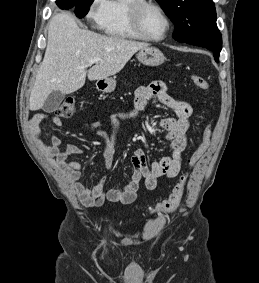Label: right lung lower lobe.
I'll list each match as a JSON object with an SVG mask.
<instances>
[{
  "instance_id": "98d812e1",
  "label": "right lung lower lobe",
  "mask_w": 259,
  "mask_h": 283,
  "mask_svg": "<svg viewBox=\"0 0 259 283\" xmlns=\"http://www.w3.org/2000/svg\"><path fill=\"white\" fill-rule=\"evenodd\" d=\"M56 3L61 9H69L75 5L73 0H57Z\"/></svg>"
}]
</instances>
